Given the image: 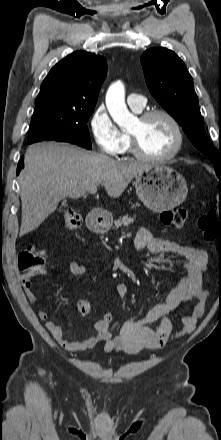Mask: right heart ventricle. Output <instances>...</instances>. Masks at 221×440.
<instances>
[{"label": "right heart ventricle", "mask_w": 221, "mask_h": 440, "mask_svg": "<svg viewBox=\"0 0 221 440\" xmlns=\"http://www.w3.org/2000/svg\"><path fill=\"white\" fill-rule=\"evenodd\" d=\"M133 111L140 112V111H137L135 109H133ZM125 136L127 138V145H126L125 150L123 152H126V151H128L130 149V139H129V137L127 135H125Z\"/></svg>", "instance_id": "obj_1"}]
</instances>
